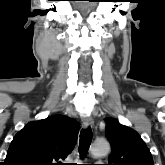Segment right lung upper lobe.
I'll list each match as a JSON object with an SVG mask.
<instances>
[{"label": "right lung upper lobe", "instance_id": "obj_1", "mask_svg": "<svg viewBox=\"0 0 165 165\" xmlns=\"http://www.w3.org/2000/svg\"><path fill=\"white\" fill-rule=\"evenodd\" d=\"M80 124L54 115L29 122L13 138L3 165H60L73 150Z\"/></svg>", "mask_w": 165, "mask_h": 165}]
</instances>
